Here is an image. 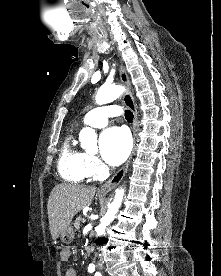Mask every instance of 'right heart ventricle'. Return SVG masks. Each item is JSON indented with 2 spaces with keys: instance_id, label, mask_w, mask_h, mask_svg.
<instances>
[{
  "instance_id": "e07e8e85",
  "label": "right heart ventricle",
  "mask_w": 221,
  "mask_h": 276,
  "mask_svg": "<svg viewBox=\"0 0 221 276\" xmlns=\"http://www.w3.org/2000/svg\"><path fill=\"white\" fill-rule=\"evenodd\" d=\"M59 173L69 182L79 183L88 176L86 154L74 145L73 135L66 137L58 162Z\"/></svg>"
}]
</instances>
